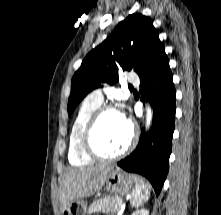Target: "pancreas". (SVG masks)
Listing matches in <instances>:
<instances>
[{"label":"pancreas","instance_id":"cf45deb5","mask_svg":"<svg viewBox=\"0 0 221 215\" xmlns=\"http://www.w3.org/2000/svg\"><path fill=\"white\" fill-rule=\"evenodd\" d=\"M119 199H121L119 196H111L104 199L96 200L91 204L89 212L115 213L121 207Z\"/></svg>","mask_w":221,"mask_h":215}]
</instances>
